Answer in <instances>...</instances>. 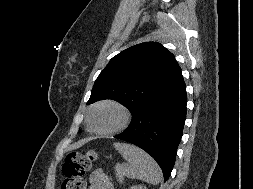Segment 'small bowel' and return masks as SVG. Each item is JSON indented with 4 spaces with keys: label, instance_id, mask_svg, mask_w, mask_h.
I'll return each mask as SVG.
<instances>
[{
    "label": "small bowel",
    "instance_id": "c3829d8e",
    "mask_svg": "<svg viewBox=\"0 0 253 189\" xmlns=\"http://www.w3.org/2000/svg\"><path fill=\"white\" fill-rule=\"evenodd\" d=\"M89 189H115L110 178L100 169L89 176Z\"/></svg>",
    "mask_w": 253,
    "mask_h": 189
}]
</instances>
